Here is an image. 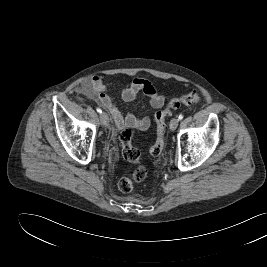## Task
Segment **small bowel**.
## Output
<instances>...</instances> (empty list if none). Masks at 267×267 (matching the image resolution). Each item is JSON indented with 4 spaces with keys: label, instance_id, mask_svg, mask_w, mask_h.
<instances>
[{
    "label": "small bowel",
    "instance_id": "c3829d8e",
    "mask_svg": "<svg viewBox=\"0 0 267 267\" xmlns=\"http://www.w3.org/2000/svg\"><path fill=\"white\" fill-rule=\"evenodd\" d=\"M109 86L100 77L94 76L84 81L81 89L85 95L95 98L103 108L110 112L118 129L134 128L142 131L147 130L151 125V119L148 116L137 117L132 113L123 114L114 99L106 93ZM139 93H144L149 98L150 106L153 109H159L164 105V96L152 82L143 78L133 79L122 90L121 97L125 103H131Z\"/></svg>",
    "mask_w": 267,
    "mask_h": 267
}]
</instances>
